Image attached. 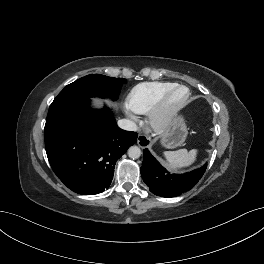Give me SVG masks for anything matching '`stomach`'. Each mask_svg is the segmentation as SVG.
Instances as JSON below:
<instances>
[{
	"label": "stomach",
	"mask_w": 264,
	"mask_h": 264,
	"mask_svg": "<svg viewBox=\"0 0 264 264\" xmlns=\"http://www.w3.org/2000/svg\"><path fill=\"white\" fill-rule=\"evenodd\" d=\"M187 134L188 130L184 119L182 117L175 118L162 136V145L166 148L179 147L185 142Z\"/></svg>",
	"instance_id": "stomach-1"
}]
</instances>
